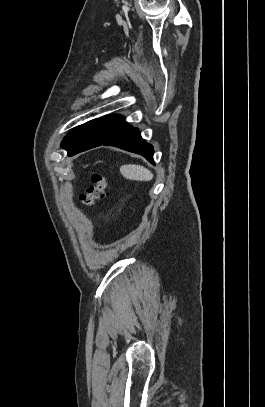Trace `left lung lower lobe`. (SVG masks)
<instances>
[{
  "instance_id": "1",
  "label": "left lung lower lobe",
  "mask_w": 265,
  "mask_h": 407,
  "mask_svg": "<svg viewBox=\"0 0 265 407\" xmlns=\"http://www.w3.org/2000/svg\"><path fill=\"white\" fill-rule=\"evenodd\" d=\"M100 145H108V146H115L121 149H124L129 152L137 153L145 157L149 162L154 164L153 160V147L152 145L148 144L140 135V132L137 128L130 126L129 128L125 129L121 133L117 134L116 136L110 138L106 142L98 143L92 145L87 148H80L72 151H68L69 156H73L79 152L100 146Z\"/></svg>"
}]
</instances>
